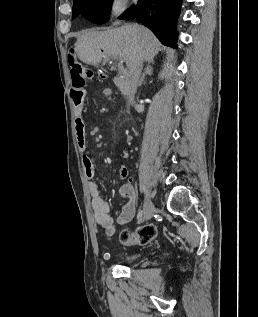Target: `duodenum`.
<instances>
[{
  "mask_svg": "<svg viewBox=\"0 0 258 317\" xmlns=\"http://www.w3.org/2000/svg\"><path fill=\"white\" fill-rule=\"evenodd\" d=\"M86 91L82 85L73 84L71 89V99L76 107H81L84 103Z\"/></svg>",
  "mask_w": 258,
  "mask_h": 317,
  "instance_id": "duodenum-1",
  "label": "duodenum"
}]
</instances>
